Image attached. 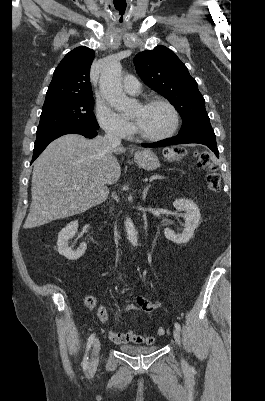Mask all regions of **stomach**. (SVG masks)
Wrapping results in <instances>:
<instances>
[{
	"instance_id": "stomach-1",
	"label": "stomach",
	"mask_w": 265,
	"mask_h": 401,
	"mask_svg": "<svg viewBox=\"0 0 265 401\" xmlns=\"http://www.w3.org/2000/svg\"><path fill=\"white\" fill-rule=\"evenodd\" d=\"M134 160L137 162L138 166L145 168V170H155L160 164L158 156H156L150 148L137 150L134 154Z\"/></svg>"
}]
</instances>
